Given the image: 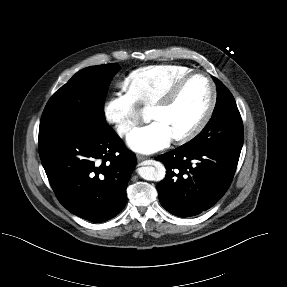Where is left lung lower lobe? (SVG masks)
I'll list each match as a JSON object with an SVG mask.
<instances>
[{
    "mask_svg": "<svg viewBox=\"0 0 287 287\" xmlns=\"http://www.w3.org/2000/svg\"><path fill=\"white\" fill-rule=\"evenodd\" d=\"M240 152L186 143L160 155L167 169L157 185L161 205L179 217L195 216L214 206L231 184Z\"/></svg>",
    "mask_w": 287,
    "mask_h": 287,
    "instance_id": "obj_1",
    "label": "left lung lower lobe"
}]
</instances>
